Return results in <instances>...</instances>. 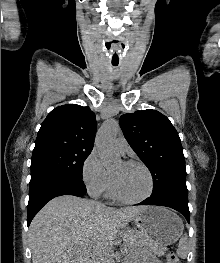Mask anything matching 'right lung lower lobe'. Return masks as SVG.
<instances>
[{
  "label": "right lung lower lobe",
  "mask_w": 220,
  "mask_h": 263,
  "mask_svg": "<svg viewBox=\"0 0 220 263\" xmlns=\"http://www.w3.org/2000/svg\"><path fill=\"white\" fill-rule=\"evenodd\" d=\"M86 187L82 179L68 175L38 170L31 172L29 183V202L27 206V225L31 223L36 213L51 199L61 195L83 196Z\"/></svg>",
  "instance_id": "1"
}]
</instances>
